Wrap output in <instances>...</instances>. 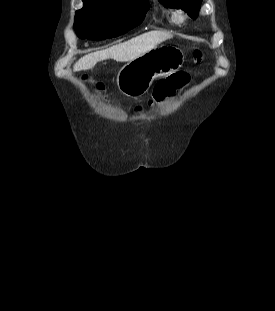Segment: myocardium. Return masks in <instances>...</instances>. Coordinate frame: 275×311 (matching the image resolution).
Returning <instances> with one entry per match:
<instances>
[{
  "label": "myocardium",
  "mask_w": 275,
  "mask_h": 311,
  "mask_svg": "<svg viewBox=\"0 0 275 311\" xmlns=\"http://www.w3.org/2000/svg\"><path fill=\"white\" fill-rule=\"evenodd\" d=\"M186 18V13L181 9H178L173 13V20L177 24H183L186 21Z\"/></svg>",
  "instance_id": "f54148a6"
}]
</instances>
